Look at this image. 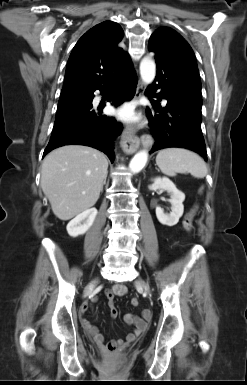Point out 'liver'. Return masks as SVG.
<instances>
[{"instance_id": "6515ba94", "label": "liver", "mask_w": 247, "mask_h": 385, "mask_svg": "<svg viewBox=\"0 0 247 385\" xmlns=\"http://www.w3.org/2000/svg\"><path fill=\"white\" fill-rule=\"evenodd\" d=\"M108 160L94 148L66 145L51 151L41 170V188L53 213L66 221L92 207L107 177Z\"/></svg>"}]
</instances>
